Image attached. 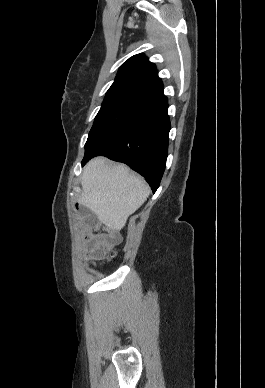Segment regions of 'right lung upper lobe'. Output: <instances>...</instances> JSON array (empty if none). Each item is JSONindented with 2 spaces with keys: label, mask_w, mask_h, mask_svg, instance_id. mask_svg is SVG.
I'll return each instance as SVG.
<instances>
[{
  "label": "right lung upper lobe",
  "mask_w": 265,
  "mask_h": 388,
  "mask_svg": "<svg viewBox=\"0 0 265 388\" xmlns=\"http://www.w3.org/2000/svg\"><path fill=\"white\" fill-rule=\"evenodd\" d=\"M107 93L128 94L149 102L163 94V83L154 63L137 54L122 64Z\"/></svg>",
  "instance_id": "cb5924a9"
}]
</instances>
